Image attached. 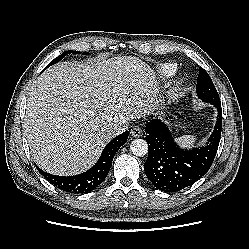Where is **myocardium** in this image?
I'll list each match as a JSON object with an SVG mask.
<instances>
[{"mask_svg": "<svg viewBox=\"0 0 249 249\" xmlns=\"http://www.w3.org/2000/svg\"><path fill=\"white\" fill-rule=\"evenodd\" d=\"M182 82H183L182 79H178V80L176 81L175 85H176V88H177V89L182 85Z\"/></svg>", "mask_w": 249, "mask_h": 249, "instance_id": "obj_1", "label": "myocardium"}]
</instances>
